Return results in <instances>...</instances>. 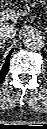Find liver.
I'll list each match as a JSON object with an SVG mask.
<instances>
[{
	"mask_svg": "<svg viewBox=\"0 0 47 129\" xmlns=\"http://www.w3.org/2000/svg\"><path fill=\"white\" fill-rule=\"evenodd\" d=\"M3 1H7V0H1ZM11 21L12 22V26H14L15 24H17V20H18V13H16L13 10H6L0 13V27L3 24H7V21Z\"/></svg>",
	"mask_w": 47,
	"mask_h": 129,
	"instance_id": "1",
	"label": "liver"
}]
</instances>
